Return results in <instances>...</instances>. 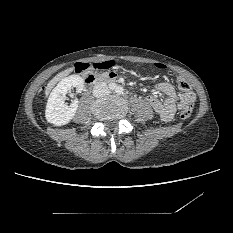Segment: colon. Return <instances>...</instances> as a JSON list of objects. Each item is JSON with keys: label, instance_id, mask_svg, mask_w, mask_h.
<instances>
[{"label": "colon", "instance_id": "5ec220e1", "mask_svg": "<svg viewBox=\"0 0 233 233\" xmlns=\"http://www.w3.org/2000/svg\"><path fill=\"white\" fill-rule=\"evenodd\" d=\"M154 66L160 70H168V66L163 63H155ZM110 67L108 63H97L96 65L90 63H77L75 66V72L81 75L84 79H90L94 74V70L106 69ZM178 88L184 92V104L181 112V118L188 119L192 112L193 94L192 88L188 81L181 79L177 81Z\"/></svg>", "mask_w": 233, "mask_h": 233}]
</instances>
